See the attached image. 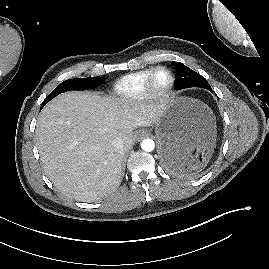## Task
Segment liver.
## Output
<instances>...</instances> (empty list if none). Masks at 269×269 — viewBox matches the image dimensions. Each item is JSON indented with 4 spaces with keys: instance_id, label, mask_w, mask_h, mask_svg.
Returning a JSON list of instances; mask_svg holds the SVG:
<instances>
[{
    "instance_id": "obj_1",
    "label": "liver",
    "mask_w": 269,
    "mask_h": 269,
    "mask_svg": "<svg viewBox=\"0 0 269 269\" xmlns=\"http://www.w3.org/2000/svg\"><path fill=\"white\" fill-rule=\"evenodd\" d=\"M161 107L80 91L57 96L40 112L35 131L47 176L62 194L78 201L106 196L121 181L133 130L155 124ZM116 138L123 140L122 150L112 146Z\"/></svg>"
}]
</instances>
